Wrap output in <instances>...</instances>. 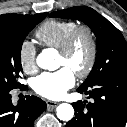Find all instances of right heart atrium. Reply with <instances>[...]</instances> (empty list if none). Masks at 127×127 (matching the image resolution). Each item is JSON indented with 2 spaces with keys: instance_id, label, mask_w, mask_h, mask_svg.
<instances>
[{
  "instance_id": "right-heart-atrium-1",
  "label": "right heart atrium",
  "mask_w": 127,
  "mask_h": 127,
  "mask_svg": "<svg viewBox=\"0 0 127 127\" xmlns=\"http://www.w3.org/2000/svg\"><path fill=\"white\" fill-rule=\"evenodd\" d=\"M18 55L20 64L26 73H34L37 70V51L31 41L24 40L20 44Z\"/></svg>"
}]
</instances>
